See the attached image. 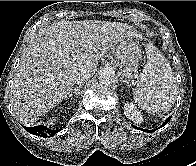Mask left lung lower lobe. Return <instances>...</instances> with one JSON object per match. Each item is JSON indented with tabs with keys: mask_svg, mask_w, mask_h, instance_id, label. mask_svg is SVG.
Returning <instances> with one entry per match:
<instances>
[{
	"mask_svg": "<svg viewBox=\"0 0 196 166\" xmlns=\"http://www.w3.org/2000/svg\"><path fill=\"white\" fill-rule=\"evenodd\" d=\"M171 117H172V116H169V117L165 120V122L162 124V126L166 125V124L168 123V121L171 119ZM162 126H161V127H162ZM133 127H134V126H133ZM134 128L138 129L137 127H134ZM141 130L147 131V130H144V129H141ZM155 130H156V129H155ZM155 130H151V132H154Z\"/></svg>",
	"mask_w": 196,
	"mask_h": 166,
	"instance_id": "obj_1",
	"label": "left lung lower lobe"
}]
</instances>
